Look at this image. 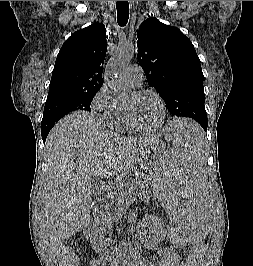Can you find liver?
<instances>
[{"label": "liver", "instance_id": "liver-1", "mask_svg": "<svg viewBox=\"0 0 253 266\" xmlns=\"http://www.w3.org/2000/svg\"><path fill=\"white\" fill-rule=\"evenodd\" d=\"M159 137H122L96 118L76 111L50 131L45 150L47 174L38 223L49 257L58 262L67 240L92 222L94 179L108 177L117 188Z\"/></svg>", "mask_w": 253, "mask_h": 266}]
</instances>
